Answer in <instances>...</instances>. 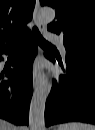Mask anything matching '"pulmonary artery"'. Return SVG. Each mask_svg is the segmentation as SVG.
<instances>
[{"label": "pulmonary artery", "instance_id": "1", "mask_svg": "<svg viewBox=\"0 0 95 130\" xmlns=\"http://www.w3.org/2000/svg\"><path fill=\"white\" fill-rule=\"evenodd\" d=\"M47 38L54 44L58 45L61 51L62 56L66 57V50L62 41V38L55 35L54 33H48Z\"/></svg>", "mask_w": 95, "mask_h": 130}]
</instances>
